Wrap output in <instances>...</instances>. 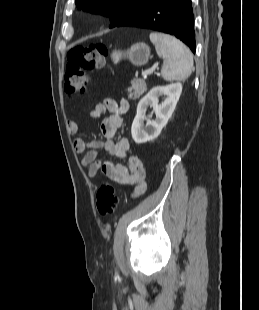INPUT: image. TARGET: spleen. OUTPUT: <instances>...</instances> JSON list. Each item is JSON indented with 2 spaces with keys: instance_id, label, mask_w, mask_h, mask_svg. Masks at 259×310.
I'll use <instances>...</instances> for the list:
<instances>
[{
  "instance_id": "3e777b00",
  "label": "spleen",
  "mask_w": 259,
  "mask_h": 310,
  "mask_svg": "<svg viewBox=\"0 0 259 310\" xmlns=\"http://www.w3.org/2000/svg\"><path fill=\"white\" fill-rule=\"evenodd\" d=\"M159 57L164 58L162 77L167 81H184L194 69L193 55L184 43L164 33H150Z\"/></svg>"
}]
</instances>
